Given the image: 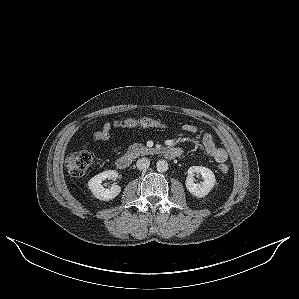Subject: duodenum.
Listing matches in <instances>:
<instances>
[{
    "mask_svg": "<svg viewBox=\"0 0 299 299\" xmlns=\"http://www.w3.org/2000/svg\"><path fill=\"white\" fill-rule=\"evenodd\" d=\"M182 154V150L177 147H170L164 150V155L168 159H175ZM132 164V157L129 154H124L116 159L117 168L124 170L130 167Z\"/></svg>",
    "mask_w": 299,
    "mask_h": 299,
    "instance_id": "duodenum-1",
    "label": "duodenum"
}]
</instances>
